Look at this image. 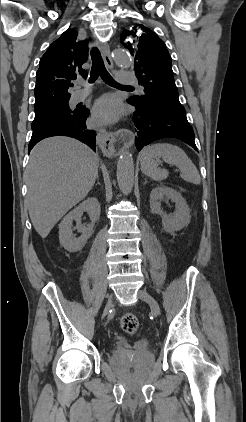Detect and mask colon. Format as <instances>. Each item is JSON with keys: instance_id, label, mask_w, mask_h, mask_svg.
<instances>
[{"instance_id": "5ec220e1", "label": "colon", "mask_w": 246, "mask_h": 422, "mask_svg": "<svg viewBox=\"0 0 246 422\" xmlns=\"http://www.w3.org/2000/svg\"><path fill=\"white\" fill-rule=\"evenodd\" d=\"M120 327L127 334H135L139 327V321L134 314L127 313L120 318Z\"/></svg>"}]
</instances>
